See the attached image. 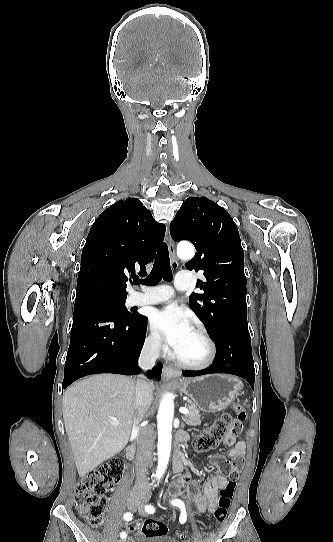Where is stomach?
Instances as JSON below:
<instances>
[{
  "label": "stomach",
  "mask_w": 333,
  "mask_h": 542,
  "mask_svg": "<svg viewBox=\"0 0 333 542\" xmlns=\"http://www.w3.org/2000/svg\"><path fill=\"white\" fill-rule=\"evenodd\" d=\"M177 388L181 394L189 396L200 410L221 412L231 406L237 396H241L243 384L235 376L209 374L189 380H178Z\"/></svg>",
  "instance_id": "stomach-1"
}]
</instances>
